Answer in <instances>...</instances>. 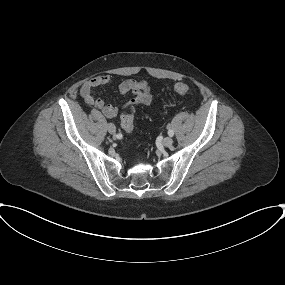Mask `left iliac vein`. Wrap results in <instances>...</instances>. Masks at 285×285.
<instances>
[{
	"label": "left iliac vein",
	"mask_w": 285,
	"mask_h": 285,
	"mask_svg": "<svg viewBox=\"0 0 285 285\" xmlns=\"http://www.w3.org/2000/svg\"><path fill=\"white\" fill-rule=\"evenodd\" d=\"M172 143H173V139H172L171 136H168V137L164 138V140H163V144H164L166 147L171 146Z\"/></svg>",
	"instance_id": "1"
}]
</instances>
